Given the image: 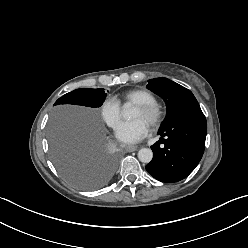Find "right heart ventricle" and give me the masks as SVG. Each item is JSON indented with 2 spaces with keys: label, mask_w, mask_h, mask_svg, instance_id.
<instances>
[{
  "label": "right heart ventricle",
  "mask_w": 248,
  "mask_h": 248,
  "mask_svg": "<svg viewBox=\"0 0 248 248\" xmlns=\"http://www.w3.org/2000/svg\"><path fill=\"white\" fill-rule=\"evenodd\" d=\"M114 100L119 104L132 103L136 105L155 100V95L147 89L136 88L126 91L122 96L115 97Z\"/></svg>",
  "instance_id": "1"
}]
</instances>
